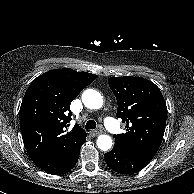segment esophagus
I'll list each match as a JSON object with an SVG mask.
<instances>
[{
    "label": "esophagus",
    "instance_id": "esophagus-1",
    "mask_svg": "<svg viewBox=\"0 0 194 194\" xmlns=\"http://www.w3.org/2000/svg\"><path fill=\"white\" fill-rule=\"evenodd\" d=\"M101 133H102L101 130H92V131H90V135L91 136H97V135H99Z\"/></svg>",
    "mask_w": 194,
    "mask_h": 194
}]
</instances>
